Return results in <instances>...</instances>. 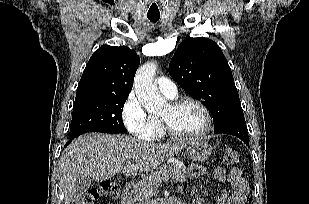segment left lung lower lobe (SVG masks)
Wrapping results in <instances>:
<instances>
[{
	"instance_id": "0a47b994",
	"label": "left lung lower lobe",
	"mask_w": 309,
	"mask_h": 204,
	"mask_svg": "<svg viewBox=\"0 0 309 204\" xmlns=\"http://www.w3.org/2000/svg\"><path fill=\"white\" fill-rule=\"evenodd\" d=\"M214 133L215 134L225 133L234 135L243 140L244 143L249 147L247 126L244 117L233 119L224 123L219 128L214 129Z\"/></svg>"
}]
</instances>
